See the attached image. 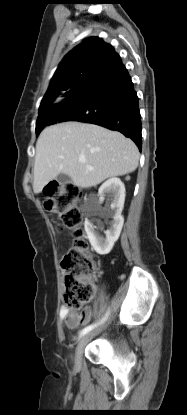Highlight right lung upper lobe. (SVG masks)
<instances>
[{
    "instance_id": "cb5924a9",
    "label": "right lung upper lobe",
    "mask_w": 187,
    "mask_h": 415,
    "mask_svg": "<svg viewBox=\"0 0 187 415\" xmlns=\"http://www.w3.org/2000/svg\"><path fill=\"white\" fill-rule=\"evenodd\" d=\"M119 55L101 38L90 37L71 50L59 64L40 109L55 103L63 93L113 62Z\"/></svg>"
}]
</instances>
